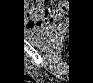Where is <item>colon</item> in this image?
Masks as SVG:
<instances>
[{"mask_svg": "<svg viewBox=\"0 0 93 83\" xmlns=\"http://www.w3.org/2000/svg\"><path fill=\"white\" fill-rule=\"evenodd\" d=\"M25 16L31 20L33 24H50L54 22L58 16L66 12L65 5L60 7L41 8L37 2L28 1L23 8Z\"/></svg>", "mask_w": 93, "mask_h": 83, "instance_id": "obj_1", "label": "colon"}]
</instances>
